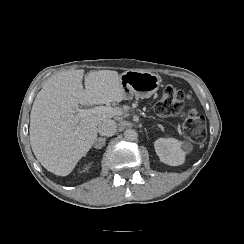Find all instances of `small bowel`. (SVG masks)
<instances>
[{
    "instance_id": "small-bowel-1",
    "label": "small bowel",
    "mask_w": 244,
    "mask_h": 244,
    "mask_svg": "<svg viewBox=\"0 0 244 244\" xmlns=\"http://www.w3.org/2000/svg\"><path fill=\"white\" fill-rule=\"evenodd\" d=\"M186 98H187V99H190V98H191V95H190V94H187V95H186Z\"/></svg>"
}]
</instances>
